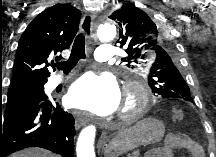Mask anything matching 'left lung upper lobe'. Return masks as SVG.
Returning <instances> with one entry per match:
<instances>
[{"mask_svg": "<svg viewBox=\"0 0 216 157\" xmlns=\"http://www.w3.org/2000/svg\"><path fill=\"white\" fill-rule=\"evenodd\" d=\"M119 27L120 48L128 54L122 61L132 68L148 70V84L162 99H181L192 102L190 89L181 74L174 39L162 27L160 19H153L134 4L126 3L109 16Z\"/></svg>", "mask_w": 216, "mask_h": 157, "instance_id": "left-lung-upper-lobe-1", "label": "left lung upper lobe"}]
</instances>
